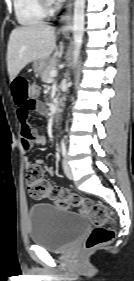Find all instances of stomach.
<instances>
[{
    "label": "stomach",
    "instance_id": "0dacf381",
    "mask_svg": "<svg viewBox=\"0 0 134 281\" xmlns=\"http://www.w3.org/2000/svg\"><path fill=\"white\" fill-rule=\"evenodd\" d=\"M49 64V60H37L33 63L34 71L37 73H41Z\"/></svg>",
    "mask_w": 134,
    "mask_h": 281
}]
</instances>
